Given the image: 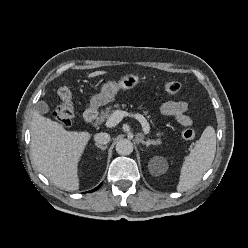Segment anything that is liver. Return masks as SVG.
<instances>
[{
    "label": "liver",
    "mask_w": 248,
    "mask_h": 248,
    "mask_svg": "<svg viewBox=\"0 0 248 248\" xmlns=\"http://www.w3.org/2000/svg\"><path fill=\"white\" fill-rule=\"evenodd\" d=\"M105 73L95 71L88 77L93 78ZM30 134L31 156L39 172L61 189L77 190L78 163L90 140V133L67 131L59 123L34 111Z\"/></svg>",
    "instance_id": "liver-1"
}]
</instances>
